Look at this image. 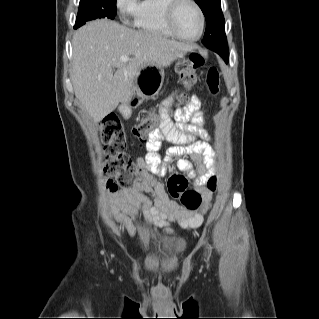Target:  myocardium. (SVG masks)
Instances as JSON below:
<instances>
[{"instance_id": "f54148a6", "label": "myocardium", "mask_w": 319, "mask_h": 319, "mask_svg": "<svg viewBox=\"0 0 319 319\" xmlns=\"http://www.w3.org/2000/svg\"><path fill=\"white\" fill-rule=\"evenodd\" d=\"M185 3L191 4L195 8L200 21L199 33L197 34V36L193 38L182 36L178 32L175 26L176 13L178 9L180 8V6ZM164 19L170 33L180 40L187 41V42H195V41H198L203 35L204 27H205V16H204L203 10L201 9L199 4L195 0H167L165 4V8H164Z\"/></svg>"}]
</instances>
